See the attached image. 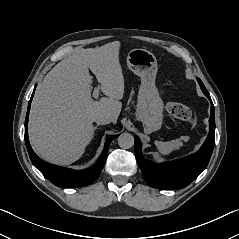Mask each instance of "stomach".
<instances>
[{"label":"stomach","mask_w":239,"mask_h":239,"mask_svg":"<svg viewBox=\"0 0 239 239\" xmlns=\"http://www.w3.org/2000/svg\"><path fill=\"white\" fill-rule=\"evenodd\" d=\"M129 69L141 78L136 118L141 121L145 132L160 129L163 120V101L155 86L158 66L153 53L145 49H133L128 53Z\"/></svg>","instance_id":"stomach-1"}]
</instances>
